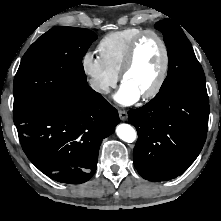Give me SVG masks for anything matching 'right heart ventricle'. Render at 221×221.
<instances>
[{"mask_svg":"<svg viewBox=\"0 0 221 221\" xmlns=\"http://www.w3.org/2000/svg\"><path fill=\"white\" fill-rule=\"evenodd\" d=\"M144 30L125 28L106 34L98 43L97 51L105 65L117 76L122 68L130 43Z\"/></svg>","mask_w":221,"mask_h":221,"instance_id":"1","label":"right heart ventricle"}]
</instances>
